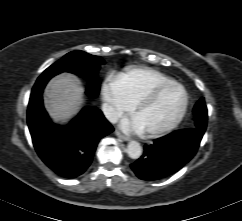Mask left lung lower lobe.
Instances as JSON below:
<instances>
[{"label":"left lung lower lobe","instance_id":"1","mask_svg":"<svg viewBox=\"0 0 242 221\" xmlns=\"http://www.w3.org/2000/svg\"><path fill=\"white\" fill-rule=\"evenodd\" d=\"M205 130L195 127L173 132L144 146L143 155L131 164L135 175L147 181L167 177L196 154Z\"/></svg>","mask_w":242,"mask_h":221}]
</instances>
